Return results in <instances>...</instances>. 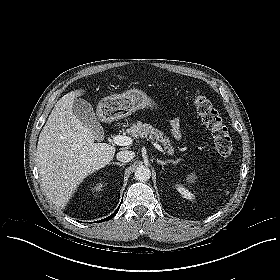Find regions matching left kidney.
Listing matches in <instances>:
<instances>
[{"label": "left kidney", "instance_id": "obj_1", "mask_svg": "<svg viewBox=\"0 0 280 280\" xmlns=\"http://www.w3.org/2000/svg\"><path fill=\"white\" fill-rule=\"evenodd\" d=\"M176 189L184 198L189 199V200L194 199V195L188 189H186L183 185L177 184Z\"/></svg>", "mask_w": 280, "mask_h": 280}]
</instances>
